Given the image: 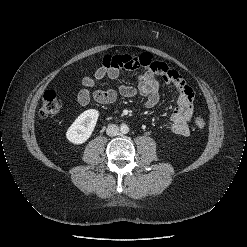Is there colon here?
I'll use <instances>...</instances> for the list:
<instances>
[{"instance_id": "colon-1", "label": "colon", "mask_w": 247, "mask_h": 247, "mask_svg": "<svg viewBox=\"0 0 247 247\" xmlns=\"http://www.w3.org/2000/svg\"><path fill=\"white\" fill-rule=\"evenodd\" d=\"M61 108V101L53 90H48L44 93L42 103L39 109V114L42 118H48L56 115ZM193 123L196 128L203 129L206 126V118L201 113H196L193 118Z\"/></svg>"}]
</instances>
